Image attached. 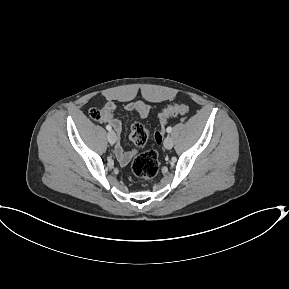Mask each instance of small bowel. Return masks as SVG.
Listing matches in <instances>:
<instances>
[{"label": "small bowel", "instance_id": "c3829d8e", "mask_svg": "<svg viewBox=\"0 0 289 289\" xmlns=\"http://www.w3.org/2000/svg\"><path fill=\"white\" fill-rule=\"evenodd\" d=\"M116 110V104L114 101H107L101 111V122L108 123L116 133H120L122 130V122L119 118L115 117L114 112ZM125 110L128 112H134L141 118H148L152 115L153 109L150 105L143 102H130L125 106ZM134 151H126L121 144H117L115 147V155L118 161L122 165H126L130 162L134 156Z\"/></svg>", "mask_w": 289, "mask_h": 289}]
</instances>
